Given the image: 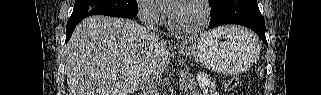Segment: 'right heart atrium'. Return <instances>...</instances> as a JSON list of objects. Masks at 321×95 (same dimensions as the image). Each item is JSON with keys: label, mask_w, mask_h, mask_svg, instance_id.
Masks as SVG:
<instances>
[{"label": "right heart atrium", "mask_w": 321, "mask_h": 95, "mask_svg": "<svg viewBox=\"0 0 321 95\" xmlns=\"http://www.w3.org/2000/svg\"><path fill=\"white\" fill-rule=\"evenodd\" d=\"M138 12L143 22L154 24L160 19V11L152 0L138 1Z\"/></svg>", "instance_id": "right-heart-atrium-1"}]
</instances>
